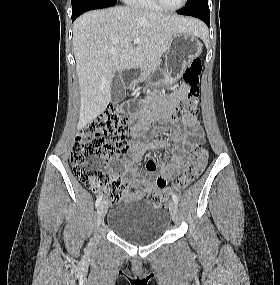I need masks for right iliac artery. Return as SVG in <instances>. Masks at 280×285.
Returning <instances> with one entry per match:
<instances>
[{"label": "right iliac artery", "instance_id": "82829eb1", "mask_svg": "<svg viewBox=\"0 0 280 285\" xmlns=\"http://www.w3.org/2000/svg\"><path fill=\"white\" fill-rule=\"evenodd\" d=\"M102 195H99L98 197H97V200H96V203H95V205H96V207H98L99 205H100V203H101V201H102Z\"/></svg>", "mask_w": 280, "mask_h": 285}]
</instances>
